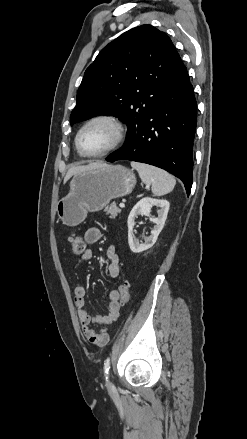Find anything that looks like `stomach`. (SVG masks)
Here are the masks:
<instances>
[{
  "instance_id": "stomach-1",
  "label": "stomach",
  "mask_w": 247,
  "mask_h": 439,
  "mask_svg": "<svg viewBox=\"0 0 247 439\" xmlns=\"http://www.w3.org/2000/svg\"><path fill=\"white\" fill-rule=\"evenodd\" d=\"M136 184L132 170L106 165L74 175L69 193L57 204V214L68 226L80 224L88 212L102 210L112 199L130 194Z\"/></svg>"
}]
</instances>
